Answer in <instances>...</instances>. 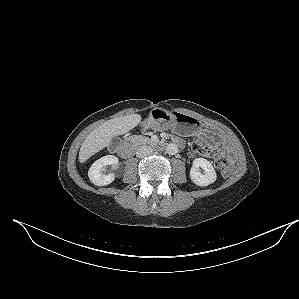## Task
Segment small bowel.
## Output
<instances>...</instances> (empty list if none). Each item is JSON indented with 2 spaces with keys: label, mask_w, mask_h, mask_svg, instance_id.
Wrapping results in <instances>:
<instances>
[{
  "label": "small bowel",
  "mask_w": 299,
  "mask_h": 299,
  "mask_svg": "<svg viewBox=\"0 0 299 299\" xmlns=\"http://www.w3.org/2000/svg\"><path fill=\"white\" fill-rule=\"evenodd\" d=\"M173 140L177 142L180 146L184 144V141L179 137H174Z\"/></svg>",
  "instance_id": "obj_1"
}]
</instances>
